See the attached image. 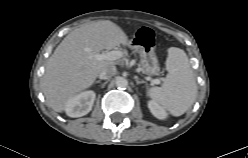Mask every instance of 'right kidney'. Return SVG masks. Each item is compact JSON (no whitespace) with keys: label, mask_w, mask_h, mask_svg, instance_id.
<instances>
[{"label":"right kidney","mask_w":248,"mask_h":158,"mask_svg":"<svg viewBox=\"0 0 248 158\" xmlns=\"http://www.w3.org/2000/svg\"><path fill=\"white\" fill-rule=\"evenodd\" d=\"M96 94L92 90L81 92L71 99L65 105V112L69 117H81L92 110Z\"/></svg>","instance_id":"right-kidney-1"}]
</instances>
